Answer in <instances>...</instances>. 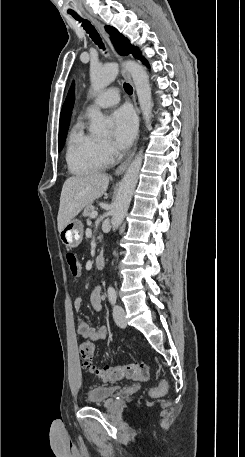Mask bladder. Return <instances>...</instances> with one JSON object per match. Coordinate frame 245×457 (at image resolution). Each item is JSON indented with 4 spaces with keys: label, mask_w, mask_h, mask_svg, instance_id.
Wrapping results in <instances>:
<instances>
[{
    "label": "bladder",
    "mask_w": 245,
    "mask_h": 457,
    "mask_svg": "<svg viewBox=\"0 0 245 457\" xmlns=\"http://www.w3.org/2000/svg\"><path fill=\"white\" fill-rule=\"evenodd\" d=\"M117 391V387H102L99 385L91 386L87 395L89 404L102 403L109 400Z\"/></svg>",
    "instance_id": "obj_1"
}]
</instances>
